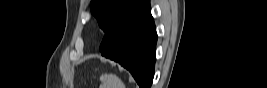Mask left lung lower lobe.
Listing matches in <instances>:
<instances>
[{"label":"left lung lower lobe","instance_id":"0a47b994","mask_svg":"<svg viewBox=\"0 0 267 88\" xmlns=\"http://www.w3.org/2000/svg\"><path fill=\"white\" fill-rule=\"evenodd\" d=\"M156 40L150 3L143 0L106 32L100 51L128 69L140 88H149L154 75Z\"/></svg>","mask_w":267,"mask_h":88}]
</instances>
